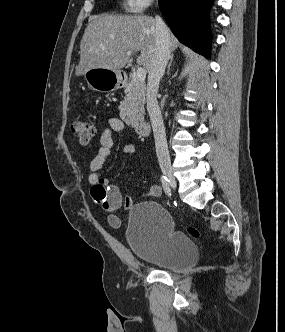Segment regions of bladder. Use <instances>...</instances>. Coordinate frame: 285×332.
Returning a JSON list of instances; mask_svg holds the SVG:
<instances>
[{
	"label": "bladder",
	"mask_w": 285,
	"mask_h": 332,
	"mask_svg": "<svg viewBox=\"0 0 285 332\" xmlns=\"http://www.w3.org/2000/svg\"><path fill=\"white\" fill-rule=\"evenodd\" d=\"M126 241L137 259L174 272L192 267L199 256L192 239L175 230L170 213L153 201L131 208Z\"/></svg>",
	"instance_id": "1"
}]
</instances>
